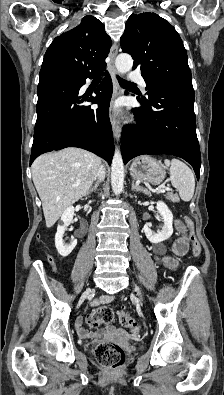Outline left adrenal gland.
<instances>
[{
	"label": "left adrenal gland",
	"mask_w": 224,
	"mask_h": 395,
	"mask_svg": "<svg viewBox=\"0 0 224 395\" xmlns=\"http://www.w3.org/2000/svg\"><path fill=\"white\" fill-rule=\"evenodd\" d=\"M132 190H134V191H142L145 194H150V192L146 188H143V187H140V186L136 185L134 181H132Z\"/></svg>",
	"instance_id": "a2214340"
}]
</instances>
